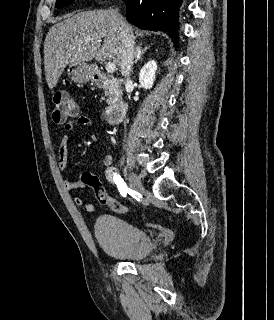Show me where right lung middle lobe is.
<instances>
[{
  "label": "right lung middle lobe",
  "instance_id": "1",
  "mask_svg": "<svg viewBox=\"0 0 274 320\" xmlns=\"http://www.w3.org/2000/svg\"><path fill=\"white\" fill-rule=\"evenodd\" d=\"M73 1L74 0H56V7L57 8H62L64 6L70 4Z\"/></svg>",
  "mask_w": 274,
  "mask_h": 320
}]
</instances>
